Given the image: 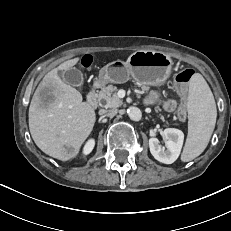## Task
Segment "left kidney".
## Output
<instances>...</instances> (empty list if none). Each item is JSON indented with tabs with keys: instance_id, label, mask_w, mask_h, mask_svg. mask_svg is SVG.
<instances>
[{
	"instance_id": "left-kidney-1",
	"label": "left kidney",
	"mask_w": 231,
	"mask_h": 231,
	"mask_svg": "<svg viewBox=\"0 0 231 231\" xmlns=\"http://www.w3.org/2000/svg\"><path fill=\"white\" fill-rule=\"evenodd\" d=\"M165 146L162 147L157 138L149 139V148L153 157L161 163L172 164L180 155L184 134L181 130L175 128H167L163 131Z\"/></svg>"
}]
</instances>
